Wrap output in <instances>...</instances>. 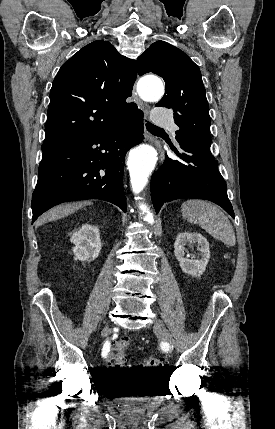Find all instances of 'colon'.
I'll return each instance as SVG.
<instances>
[{"label": "colon", "instance_id": "obj_1", "mask_svg": "<svg viewBox=\"0 0 275 429\" xmlns=\"http://www.w3.org/2000/svg\"><path fill=\"white\" fill-rule=\"evenodd\" d=\"M127 345L128 339L126 338L113 345L108 358L111 368L119 370L124 368ZM143 366L150 370H160L163 367V361L158 357H147L143 360Z\"/></svg>", "mask_w": 275, "mask_h": 429}]
</instances>
